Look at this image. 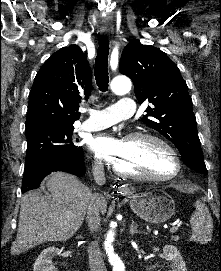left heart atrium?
Returning <instances> with one entry per match:
<instances>
[{
  "mask_svg": "<svg viewBox=\"0 0 221 271\" xmlns=\"http://www.w3.org/2000/svg\"><path fill=\"white\" fill-rule=\"evenodd\" d=\"M109 134H100L91 140L89 147L92 151L100 153V157H137V152L131 148H121L122 142H113Z\"/></svg>",
  "mask_w": 221,
  "mask_h": 271,
  "instance_id": "left-heart-atrium-1",
  "label": "left heart atrium"
}]
</instances>
